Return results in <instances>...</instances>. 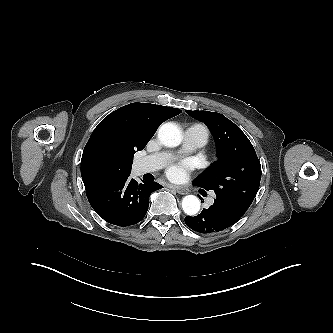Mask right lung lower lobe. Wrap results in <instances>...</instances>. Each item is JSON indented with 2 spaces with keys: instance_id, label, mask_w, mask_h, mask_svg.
<instances>
[{
  "instance_id": "obj_1",
  "label": "right lung lower lobe",
  "mask_w": 333,
  "mask_h": 333,
  "mask_svg": "<svg viewBox=\"0 0 333 333\" xmlns=\"http://www.w3.org/2000/svg\"><path fill=\"white\" fill-rule=\"evenodd\" d=\"M157 182L138 183L128 176L112 178L86 191L96 213L114 225L130 226L147 213L150 194L162 188Z\"/></svg>"
}]
</instances>
